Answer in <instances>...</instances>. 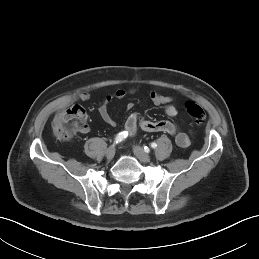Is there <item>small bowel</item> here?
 Listing matches in <instances>:
<instances>
[{"label":"small bowel","mask_w":259,"mask_h":259,"mask_svg":"<svg viewBox=\"0 0 259 259\" xmlns=\"http://www.w3.org/2000/svg\"><path fill=\"white\" fill-rule=\"evenodd\" d=\"M134 93V89L119 88L112 95H108L99 106V114L102 120L109 126H115L116 121L110 115L108 106L113 98L122 99L129 94ZM150 98L156 105L165 104L164 113L167 117H175L178 114L176 105L172 102L173 98L170 96L163 95L159 89L152 88L150 90ZM77 98L81 101H87L91 98V94L87 91H82L78 94ZM140 127L142 130L151 133H165L172 136L175 143L182 148H186L191 144V136L188 133L180 132L177 130L175 124L169 120L160 121H149L143 118L139 113H131L124 125L127 136L132 137L135 135L137 128ZM82 132L86 133L89 131V127L85 125Z\"/></svg>","instance_id":"small-bowel-1"}]
</instances>
